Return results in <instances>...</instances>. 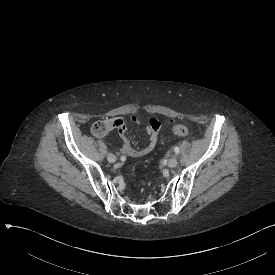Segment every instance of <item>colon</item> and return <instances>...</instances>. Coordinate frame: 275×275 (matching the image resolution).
Segmentation results:
<instances>
[{
  "label": "colon",
  "mask_w": 275,
  "mask_h": 275,
  "mask_svg": "<svg viewBox=\"0 0 275 275\" xmlns=\"http://www.w3.org/2000/svg\"><path fill=\"white\" fill-rule=\"evenodd\" d=\"M107 130V124L101 120L95 121L91 126L92 134L98 137L104 136L107 133ZM171 130L175 135L180 137H186L189 135V129L181 124L172 125Z\"/></svg>",
  "instance_id": "obj_1"
}]
</instances>
